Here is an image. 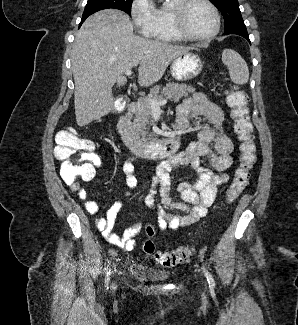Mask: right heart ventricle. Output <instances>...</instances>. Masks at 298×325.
Segmentation results:
<instances>
[{"mask_svg":"<svg viewBox=\"0 0 298 325\" xmlns=\"http://www.w3.org/2000/svg\"><path fill=\"white\" fill-rule=\"evenodd\" d=\"M169 2L170 1L162 2L154 7V23L163 29V41L179 42L181 39L177 38L170 29V17L167 9Z\"/></svg>","mask_w":298,"mask_h":325,"instance_id":"1","label":"right heart ventricle"}]
</instances>
